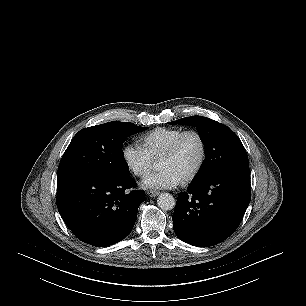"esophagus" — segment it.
<instances>
[{
	"label": "esophagus",
	"mask_w": 306,
	"mask_h": 306,
	"mask_svg": "<svg viewBox=\"0 0 306 306\" xmlns=\"http://www.w3.org/2000/svg\"><path fill=\"white\" fill-rule=\"evenodd\" d=\"M159 194H160V192H158V191H153V190H149V191L147 192V195L150 196V197H156V196H158Z\"/></svg>",
	"instance_id": "esophagus-1"
}]
</instances>
